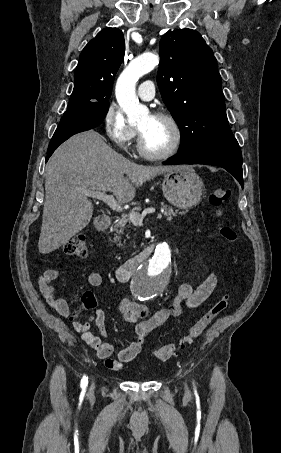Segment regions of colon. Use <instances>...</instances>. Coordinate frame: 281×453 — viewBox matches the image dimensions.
<instances>
[{
	"instance_id": "1",
	"label": "colon",
	"mask_w": 281,
	"mask_h": 453,
	"mask_svg": "<svg viewBox=\"0 0 281 453\" xmlns=\"http://www.w3.org/2000/svg\"><path fill=\"white\" fill-rule=\"evenodd\" d=\"M230 194V188L226 185L216 186L210 196V203L216 207L225 205ZM218 235L226 242H234L236 240L235 231L228 226L224 220L220 219L217 223ZM63 254L67 257H84L88 253V246L84 239L73 238L61 246ZM230 301L228 297H221L200 315L199 319L192 325L190 330L182 335L176 343L162 346L156 350V360L159 363L169 362L177 348H181L191 344L200 338L204 332L210 327L212 322L227 308Z\"/></svg>"
}]
</instances>
